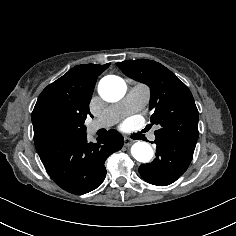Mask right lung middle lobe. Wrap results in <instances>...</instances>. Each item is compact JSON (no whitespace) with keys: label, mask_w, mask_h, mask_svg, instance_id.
Segmentation results:
<instances>
[{"label":"right lung middle lobe","mask_w":236,"mask_h":236,"mask_svg":"<svg viewBox=\"0 0 236 236\" xmlns=\"http://www.w3.org/2000/svg\"><path fill=\"white\" fill-rule=\"evenodd\" d=\"M85 119L86 114L70 118L48 119L40 129L38 143L35 142V145L84 134L86 132Z\"/></svg>","instance_id":"dd1d6c3e"}]
</instances>
